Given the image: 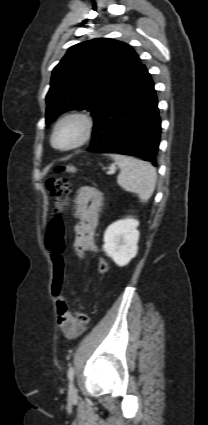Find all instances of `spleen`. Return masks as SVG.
<instances>
[{"instance_id": "spleen-1", "label": "spleen", "mask_w": 208, "mask_h": 425, "mask_svg": "<svg viewBox=\"0 0 208 425\" xmlns=\"http://www.w3.org/2000/svg\"><path fill=\"white\" fill-rule=\"evenodd\" d=\"M111 157L121 170L117 178L118 185L137 194L141 202H147L155 190L156 169L150 163L133 157L119 154H112Z\"/></svg>"}]
</instances>
